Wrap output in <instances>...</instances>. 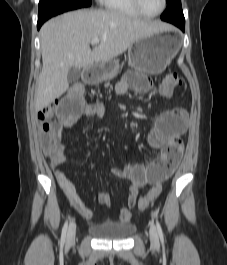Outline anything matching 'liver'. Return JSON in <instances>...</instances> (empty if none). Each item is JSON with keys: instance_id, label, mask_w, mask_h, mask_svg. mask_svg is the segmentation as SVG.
<instances>
[{"instance_id": "6515ba94", "label": "liver", "mask_w": 227, "mask_h": 265, "mask_svg": "<svg viewBox=\"0 0 227 265\" xmlns=\"http://www.w3.org/2000/svg\"><path fill=\"white\" fill-rule=\"evenodd\" d=\"M166 29L160 23L118 11L78 10L50 19L40 30L43 66L35 94L36 112L66 92L72 67L80 69L111 61L138 39ZM93 38L100 42L91 49Z\"/></svg>"}]
</instances>
